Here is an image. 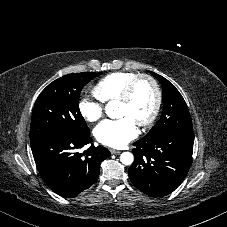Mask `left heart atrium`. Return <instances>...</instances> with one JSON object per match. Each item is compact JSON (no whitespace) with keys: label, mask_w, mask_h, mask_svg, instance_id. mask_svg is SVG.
<instances>
[{"label":"left heart atrium","mask_w":227,"mask_h":227,"mask_svg":"<svg viewBox=\"0 0 227 227\" xmlns=\"http://www.w3.org/2000/svg\"><path fill=\"white\" fill-rule=\"evenodd\" d=\"M136 124L128 117L106 119L94 130L97 140L109 147L121 148L137 136Z\"/></svg>","instance_id":"39dd6f15"}]
</instances>
